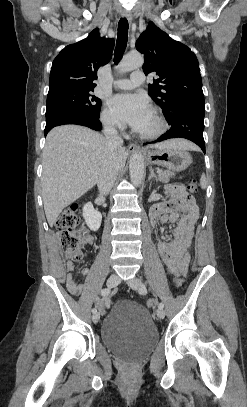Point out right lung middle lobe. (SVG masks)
<instances>
[{
	"label": "right lung middle lobe",
	"mask_w": 247,
	"mask_h": 407,
	"mask_svg": "<svg viewBox=\"0 0 247 407\" xmlns=\"http://www.w3.org/2000/svg\"><path fill=\"white\" fill-rule=\"evenodd\" d=\"M89 88H62L47 95L46 118L61 113H77L99 117L101 100Z\"/></svg>",
	"instance_id": "right-lung-middle-lobe-1"
}]
</instances>
